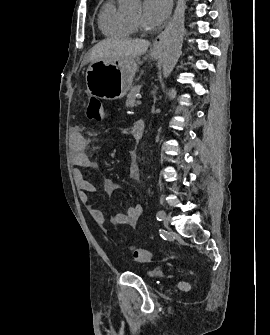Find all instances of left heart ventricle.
Segmentation results:
<instances>
[{
    "label": "left heart ventricle",
    "mask_w": 270,
    "mask_h": 335,
    "mask_svg": "<svg viewBox=\"0 0 270 335\" xmlns=\"http://www.w3.org/2000/svg\"><path fill=\"white\" fill-rule=\"evenodd\" d=\"M134 25L138 26L141 20V14L134 15L129 19Z\"/></svg>",
    "instance_id": "b2bd125f"
}]
</instances>
